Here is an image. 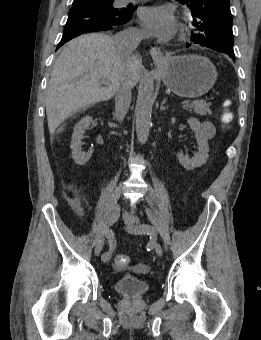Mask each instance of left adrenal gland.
<instances>
[{"mask_svg": "<svg viewBox=\"0 0 261 340\" xmlns=\"http://www.w3.org/2000/svg\"><path fill=\"white\" fill-rule=\"evenodd\" d=\"M165 103H166V98L161 103V106H160L161 110H165L166 109V107L164 106Z\"/></svg>", "mask_w": 261, "mask_h": 340, "instance_id": "a2214340", "label": "left adrenal gland"}]
</instances>
